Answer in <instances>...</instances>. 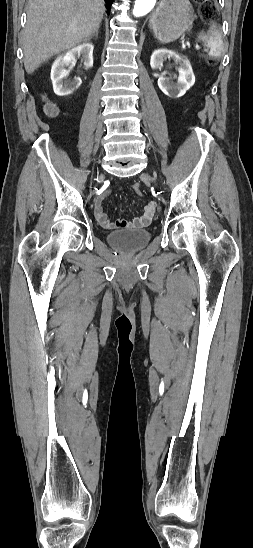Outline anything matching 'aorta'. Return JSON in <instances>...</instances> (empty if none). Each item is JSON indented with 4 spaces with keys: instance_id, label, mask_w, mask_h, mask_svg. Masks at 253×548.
<instances>
[{
    "instance_id": "obj_1",
    "label": "aorta",
    "mask_w": 253,
    "mask_h": 548,
    "mask_svg": "<svg viewBox=\"0 0 253 548\" xmlns=\"http://www.w3.org/2000/svg\"><path fill=\"white\" fill-rule=\"evenodd\" d=\"M157 0H136L133 15L141 17L149 13L155 6Z\"/></svg>"
}]
</instances>
